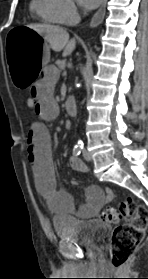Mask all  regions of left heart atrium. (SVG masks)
I'll list each match as a JSON object with an SVG mask.
<instances>
[{
    "label": "left heart atrium",
    "mask_w": 148,
    "mask_h": 279,
    "mask_svg": "<svg viewBox=\"0 0 148 279\" xmlns=\"http://www.w3.org/2000/svg\"><path fill=\"white\" fill-rule=\"evenodd\" d=\"M79 3L86 9H92L100 4L102 0H78Z\"/></svg>",
    "instance_id": "1"
}]
</instances>
